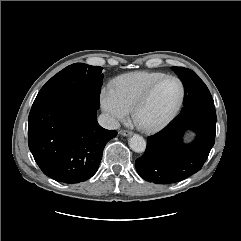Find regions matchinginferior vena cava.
Segmentation results:
<instances>
[{"instance_id": "inferior-vena-cava-1", "label": "inferior vena cava", "mask_w": 241, "mask_h": 241, "mask_svg": "<svg viewBox=\"0 0 241 241\" xmlns=\"http://www.w3.org/2000/svg\"><path fill=\"white\" fill-rule=\"evenodd\" d=\"M98 123L103 128L109 129V130L118 129L120 127L118 120L107 113H102L98 117Z\"/></svg>"}]
</instances>
